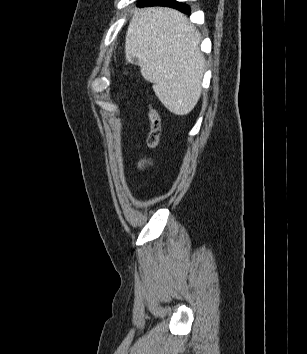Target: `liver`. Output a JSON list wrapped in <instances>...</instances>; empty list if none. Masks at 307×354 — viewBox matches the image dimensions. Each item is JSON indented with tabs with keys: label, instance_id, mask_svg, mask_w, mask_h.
Listing matches in <instances>:
<instances>
[{
	"label": "liver",
	"instance_id": "obj_1",
	"mask_svg": "<svg viewBox=\"0 0 307 354\" xmlns=\"http://www.w3.org/2000/svg\"><path fill=\"white\" fill-rule=\"evenodd\" d=\"M199 31L181 12L168 7L135 9L125 40L126 58L138 59L161 103L178 116L196 106L205 71Z\"/></svg>",
	"mask_w": 307,
	"mask_h": 354
}]
</instances>
